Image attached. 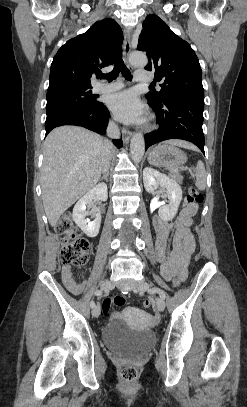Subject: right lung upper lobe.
I'll return each mask as SVG.
<instances>
[{"instance_id": "1", "label": "right lung upper lobe", "mask_w": 247, "mask_h": 407, "mask_svg": "<svg viewBox=\"0 0 247 407\" xmlns=\"http://www.w3.org/2000/svg\"><path fill=\"white\" fill-rule=\"evenodd\" d=\"M122 30L111 19L93 24L88 31L69 40L54 56L48 90L65 87H91L90 79L99 67L114 63L122 45Z\"/></svg>"}]
</instances>
